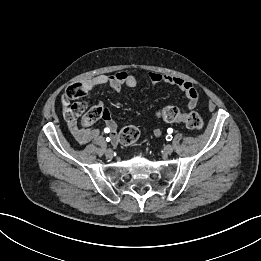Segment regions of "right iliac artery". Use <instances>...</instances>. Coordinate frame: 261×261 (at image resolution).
I'll list each match as a JSON object with an SVG mask.
<instances>
[{
	"label": "right iliac artery",
	"mask_w": 261,
	"mask_h": 261,
	"mask_svg": "<svg viewBox=\"0 0 261 261\" xmlns=\"http://www.w3.org/2000/svg\"><path fill=\"white\" fill-rule=\"evenodd\" d=\"M104 131H106V132L108 133V132H109V129L106 128V129H104ZM110 140H111V139H110L109 137L106 138V141H107V142H109Z\"/></svg>",
	"instance_id": "right-iliac-artery-1"
}]
</instances>
